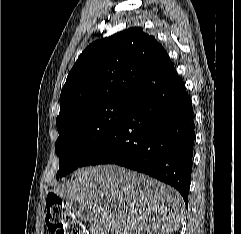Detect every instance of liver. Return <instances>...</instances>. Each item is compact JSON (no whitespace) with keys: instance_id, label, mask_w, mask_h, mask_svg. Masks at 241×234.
I'll use <instances>...</instances> for the list:
<instances>
[{"instance_id":"liver-1","label":"liver","mask_w":241,"mask_h":234,"mask_svg":"<svg viewBox=\"0 0 241 234\" xmlns=\"http://www.w3.org/2000/svg\"><path fill=\"white\" fill-rule=\"evenodd\" d=\"M91 234H170L180 226L178 191L116 165L77 169L75 179L54 190Z\"/></svg>"}]
</instances>
